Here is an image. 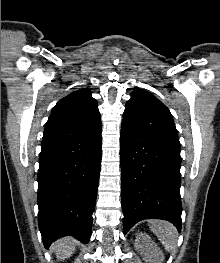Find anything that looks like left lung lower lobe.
I'll use <instances>...</instances> for the list:
<instances>
[{
  "instance_id": "1",
  "label": "left lung lower lobe",
  "mask_w": 220,
  "mask_h": 263,
  "mask_svg": "<svg viewBox=\"0 0 220 263\" xmlns=\"http://www.w3.org/2000/svg\"><path fill=\"white\" fill-rule=\"evenodd\" d=\"M121 203L126 234L143 219H163L181 232L180 148L121 125Z\"/></svg>"
}]
</instances>
